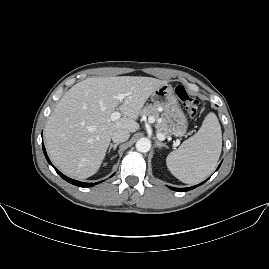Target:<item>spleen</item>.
Wrapping results in <instances>:
<instances>
[{
  "instance_id": "obj_1",
  "label": "spleen",
  "mask_w": 269,
  "mask_h": 269,
  "mask_svg": "<svg viewBox=\"0 0 269 269\" xmlns=\"http://www.w3.org/2000/svg\"><path fill=\"white\" fill-rule=\"evenodd\" d=\"M221 150V126L217 116L210 112L199 131L167 156L166 164L181 182L197 184L213 172Z\"/></svg>"
}]
</instances>
